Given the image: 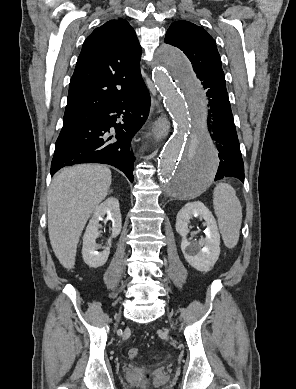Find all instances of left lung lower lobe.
Listing matches in <instances>:
<instances>
[{
    "instance_id": "1",
    "label": "left lung lower lobe",
    "mask_w": 296,
    "mask_h": 389,
    "mask_svg": "<svg viewBox=\"0 0 296 389\" xmlns=\"http://www.w3.org/2000/svg\"><path fill=\"white\" fill-rule=\"evenodd\" d=\"M200 81H202L205 90L203 95L206 94L209 97V105L205 109L204 118L210 136L216 141L219 151L220 165L215 181L223 177H235L244 183V164L226 90L225 76L224 74L219 76L202 75ZM187 94L195 108L194 112H196L198 101L193 93L187 91ZM186 174L185 168L184 175Z\"/></svg>"
}]
</instances>
